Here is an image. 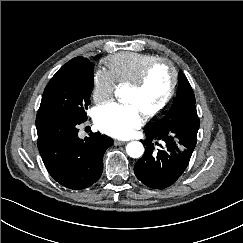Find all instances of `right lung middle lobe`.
I'll use <instances>...</instances> for the list:
<instances>
[{
	"instance_id": "dd1d6c3e",
	"label": "right lung middle lobe",
	"mask_w": 243,
	"mask_h": 243,
	"mask_svg": "<svg viewBox=\"0 0 243 243\" xmlns=\"http://www.w3.org/2000/svg\"><path fill=\"white\" fill-rule=\"evenodd\" d=\"M93 72L94 64L86 58L63 65L47 84L36 119L85 121L94 85Z\"/></svg>"
}]
</instances>
